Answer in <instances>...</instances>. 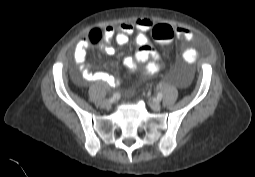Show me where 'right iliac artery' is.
I'll use <instances>...</instances> for the list:
<instances>
[{"mask_svg":"<svg viewBox=\"0 0 255 177\" xmlns=\"http://www.w3.org/2000/svg\"><path fill=\"white\" fill-rule=\"evenodd\" d=\"M119 98H120L119 93H114L111 99L114 101V100H118Z\"/></svg>","mask_w":255,"mask_h":177,"instance_id":"obj_1","label":"right iliac artery"}]
</instances>
